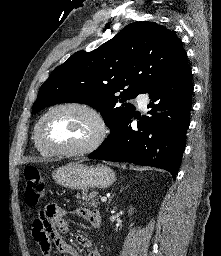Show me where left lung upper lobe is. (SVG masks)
I'll return each mask as SVG.
<instances>
[{
    "mask_svg": "<svg viewBox=\"0 0 221 256\" xmlns=\"http://www.w3.org/2000/svg\"><path fill=\"white\" fill-rule=\"evenodd\" d=\"M186 64L174 32L155 22H134L99 48L78 51L56 67L40 87L32 114L57 103H86L112 131L135 112L126 100L148 93Z\"/></svg>",
    "mask_w": 221,
    "mask_h": 256,
    "instance_id": "left-lung-upper-lobe-1",
    "label": "left lung upper lobe"
}]
</instances>
